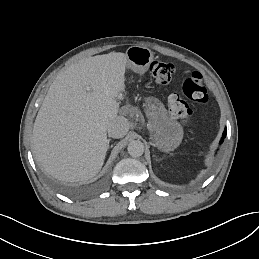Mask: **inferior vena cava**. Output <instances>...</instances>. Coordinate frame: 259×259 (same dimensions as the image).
I'll return each instance as SVG.
<instances>
[{"label": "inferior vena cava", "mask_w": 259, "mask_h": 259, "mask_svg": "<svg viewBox=\"0 0 259 259\" xmlns=\"http://www.w3.org/2000/svg\"><path fill=\"white\" fill-rule=\"evenodd\" d=\"M129 130V122L123 116H117L107 126L108 135L112 138H122Z\"/></svg>", "instance_id": "inferior-vena-cava-1"}]
</instances>
